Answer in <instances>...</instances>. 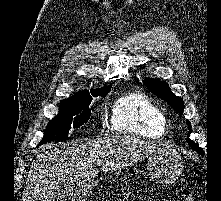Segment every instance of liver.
<instances>
[{"mask_svg": "<svg viewBox=\"0 0 221 201\" xmlns=\"http://www.w3.org/2000/svg\"><path fill=\"white\" fill-rule=\"evenodd\" d=\"M134 136L112 135L96 140L49 144L41 148L28 172L23 201H54L65 184L90 188L96 184L97 166L104 172L133 165L157 152L173 151Z\"/></svg>", "mask_w": 221, "mask_h": 201, "instance_id": "6515ba94", "label": "liver"}]
</instances>
